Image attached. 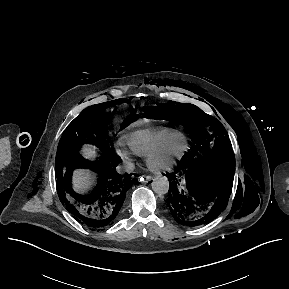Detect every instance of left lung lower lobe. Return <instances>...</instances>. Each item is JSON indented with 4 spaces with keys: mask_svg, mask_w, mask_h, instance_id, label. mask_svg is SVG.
I'll use <instances>...</instances> for the list:
<instances>
[{
    "mask_svg": "<svg viewBox=\"0 0 289 289\" xmlns=\"http://www.w3.org/2000/svg\"><path fill=\"white\" fill-rule=\"evenodd\" d=\"M234 172L233 165L220 168L206 152L187 153L179 167L168 175L166 202L174 219L193 227L217 218L229 200Z\"/></svg>",
    "mask_w": 289,
    "mask_h": 289,
    "instance_id": "1",
    "label": "left lung lower lobe"
}]
</instances>
